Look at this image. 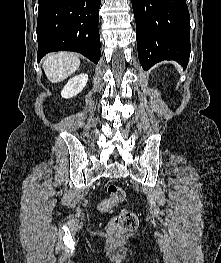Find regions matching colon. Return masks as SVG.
Wrapping results in <instances>:
<instances>
[{"instance_id": "5ec220e1", "label": "colon", "mask_w": 221, "mask_h": 263, "mask_svg": "<svg viewBox=\"0 0 221 263\" xmlns=\"http://www.w3.org/2000/svg\"><path fill=\"white\" fill-rule=\"evenodd\" d=\"M108 197L99 203L102 212H108L113 206L125 199V191L116 184L107 187ZM138 226V217L135 212L129 209L122 210L114 216L109 224L108 230L114 234H124L135 230Z\"/></svg>"}]
</instances>
